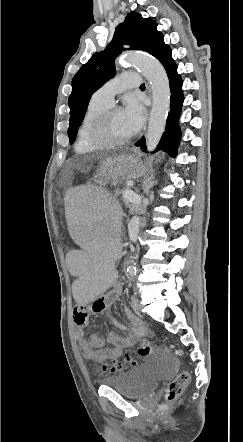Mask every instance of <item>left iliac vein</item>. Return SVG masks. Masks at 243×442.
I'll return each instance as SVG.
<instances>
[{
	"mask_svg": "<svg viewBox=\"0 0 243 442\" xmlns=\"http://www.w3.org/2000/svg\"><path fill=\"white\" fill-rule=\"evenodd\" d=\"M132 303H133V308H134V310H135L136 312H140L141 307H140L139 301H138V299H137L136 297H133V299H132Z\"/></svg>",
	"mask_w": 243,
	"mask_h": 442,
	"instance_id": "1",
	"label": "left iliac vein"
}]
</instances>
